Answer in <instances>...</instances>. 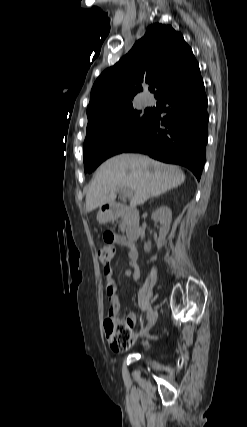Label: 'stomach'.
Here are the masks:
<instances>
[{"label": "stomach", "mask_w": 247, "mask_h": 427, "mask_svg": "<svg viewBox=\"0 0 247 427\" xmlns=\"http://www.w3.org/2000/svg\"><path fill=\"white\" fill-rule=\"evenodd\" d=\"M112 219V215L106 211L100 210L97 214V220L100 223H106Z\"/></svg>", "instance_id": "1"}]
</instances>
